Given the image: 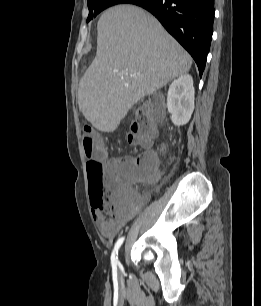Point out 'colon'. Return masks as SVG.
Segmentation results:
<instances>
[{
    "label": "colon",
    "instance_id": "5ec220e1",
    "mask_svg": "<svg viewBox=\"0 0 261 306\" xmlns=\"http://www.w3.org/2000/svg\"><path fill=\"white\" fill-rule=\"evenodd\" d=\"M161 118V98L158 95L140 104L135 111L127 140L135 145L148 147L156 136V124ZM82 146L87 158V172L92 198L99 201V207L108 212L114 205L131 196L130 183L133 180H154L157 176L152 159L144 155L131 164L110 162L104 164L101 157L104 147L93 136L91 127L82 131Z\"/></svg>",
    "mask_w": 261,
    "mask_h": 306
}]
</instances>
